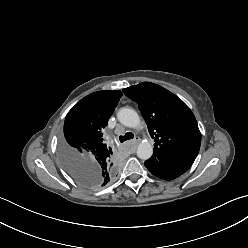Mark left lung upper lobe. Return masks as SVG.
<instances>
[{
    "instance_id": "left-lung-upper-lobe-1",
    "label": "left lung upper lobe",
    "mask_w": 248,
    "mask_h": 248,
    "mask_svg": "<svg viewBox=\"0 0 248 248\" xmlns=\"http://www.w3.org/2000/svg\"><path fill=\"white\" fill-rule=\"evenodd\" d=\"M123 92L138 103L155 141L153 158L159 161L195 160L201 133L195 116L179 97L151 82L125 88Z\"/></svg>"
}]
</instances>
